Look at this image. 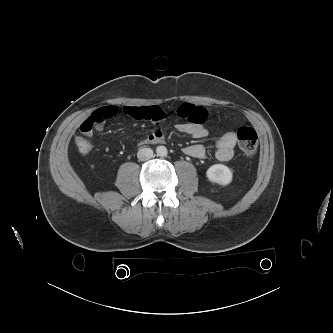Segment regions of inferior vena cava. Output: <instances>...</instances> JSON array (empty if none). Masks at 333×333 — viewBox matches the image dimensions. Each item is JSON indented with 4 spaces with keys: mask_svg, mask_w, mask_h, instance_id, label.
I'll list each match as a JSON object with an SVG mask.
<instances>
[{
    "mask_svg": "<svg viewBox=\"0 0 333 333\" xmlns=\"http://www.w3.org/2000/svg\"><path fill=\"white\" fill-rule=\"evenodd\" d=\"M137 157L140 161H146L153 157V150L151 148H142L138 151Z\"/></svg>",
    "mask_w": 333,
    "mask_h": 333,
    "instance_id": "602c4592",
    "label": "inferior vena cava"
}]
</instances>
